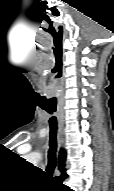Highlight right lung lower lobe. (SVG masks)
I'll use <instances>...</instances> for the list:
<instances>
[{"label":"right lung lower lobe","instance_id":"1","mask_svg":"<svg viewBox=\"0 0 114 191\" xmlns=\"http://www.w3.org/2000/svg\"><path fill=\"white\" fill-rule=\"evenodd\" d=\"M66 177H67V174H65L64 176H62V177H60V178H57V179H58L57 181L60 183L62 190H67V189L64 187V185L62 184V181H63Z\"/></svg>","mask_w":114,"mask_h":191}]
</instances>
